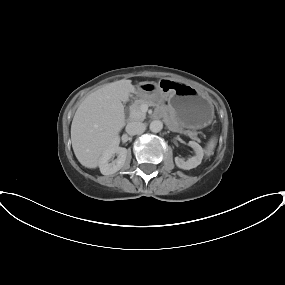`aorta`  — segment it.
Returning a JSON list of instances; mask_svg holds the SVG:
<instances>
[{"mask_svg": "<svg viewBox=\"0 0 285 285\" xmlns=\"http://www.w3.org/2000/svg\"><path fill=\"white\" fill-rule=\"evenodd\" d=\"M151 132L158 133L163 128V123L160 120H154L150 123L149 126Z\"/></svg>", "mask_w": 285, "mask_h": 285, "instance_id": "762f6f07", "label": "aorta"}]
</instances>
